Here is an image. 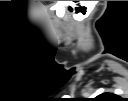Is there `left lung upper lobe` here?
I'll return each mask as SVG.
<instances>
[{"instance_id": "1", "label": "left lung upper lobe", "mask_w": 128, "mask_h": 101, "mask_svg": "<svg viewBox=\"0 0 128 101\" xmlns=\"http://www.w3.org/2000/svg\"><path fill=\"white\" fill-rule=\"evenodd\" d=\"M116 95L110 94V93H104L98 97V100L102 99H115Z\"/></svg>"}]
</instances>
